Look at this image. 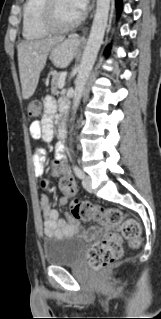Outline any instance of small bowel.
I'll return each instance as SVG.
<instances>
[{"instance_id": "obj_1", "label": "small bowel", "mask_w": 161, "mask_h": 319, "mask_svg": "<svg viewBox=\"0 0 161 319\" xmlns=\"http://www.w3.org/2000/svg\"><path fill=\"white\" fill-rule=\"evenodd\" d=\"M44 116L41 121H35L30 126V137L36 141L49 143L54 137V117L57 112V103L55 98L47 96L43 102ZM67 105L63 100L61 102V109L66 110ZM64 148L58 147L57 153L59 161L52 165V171L56 175H63L64 178L70 179L73 187L65 190L64 194L59 196L58 201L60 204H67L69 198L75 195L77 187L75 182L71 179L68 166L66 163V156L63 153ZM44 152L42 149L37 148L33 155L34 171L37 175L44 173ZM40 209L43 218L44 232L47 236H54L59 234H70L74 231L81 230V226L73 220L70 215L65 218L59 216V212L52 208L51 203L46 195L40 199ZM101 229H94L87 231V235L91 238L99 236L107 227L102 223Z\"/></svg>"}]
</instances>
